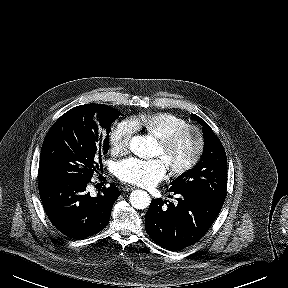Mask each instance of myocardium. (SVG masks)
Returning <instances> with one entry per match:
<instances>
[{"instance_id": "f54148a6", "label": "myocardium", "mask_w": 288, "mask_h": 288, "mask_svg": "<svg viewBox=\"0 0 288 288\" xmlns=\"http://www.w3.org/2000/svg\"><path fill=\"white\" fill-rule=\"evenodd\" d=\"M186 134H193L196 138V146L192 156L183 163H168V168L172 175L179 176L191 170L201 159L205 147L203 131L196 125L186 124L181 126L159 139L164 149V155L168 156L177 141Z\"/></svg>"}]
</instances>
